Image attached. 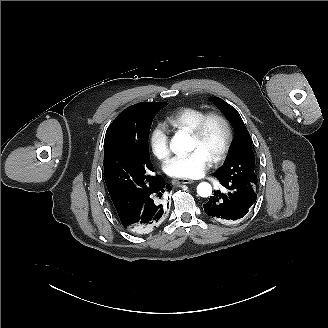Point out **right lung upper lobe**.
Returning <instances> with one entry per match:
<instances>
[{
	"label": "right lung upper lobe",
	"instance_id": "cb5924a9",
	"mask_svg": "<svg viewBox=\"0 0 328 328\" xmlns=\"http://www.w3.org/2000/svg\"><path fill=\"white\" fill-rule=\"evenodd\" d=\"M115 207H116L117 213L120 217V216L125 215L128 206L117 205Z\"/></svg>",
	"mask_w": 328,
	"mask_h": 328
}]
</instances>
